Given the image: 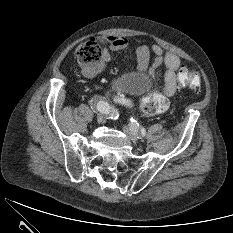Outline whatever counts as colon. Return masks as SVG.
Masks as SVG:
<instances>
[{"label": "colon", "instance_id": "5ec220e1", "mask_svg": "<svg viewBox=\"0 0 233 233\" xmlns=\"http://www.w3.org/2000/svg\"><path fill=\"white\" fill-rule=\"evenodd\" d=\"M78 62L86 68H92L102 63L103 53L96 40H88L77 49ZM178 86L199 90L201 87L200 76L196 71L182 68L178 74ZM169 101L161 94H148L140 102L139 110L145 116L156 115L168 109Z\"/></svg>", "mask_w": 233, "mask_h": 233}]
</instances>
